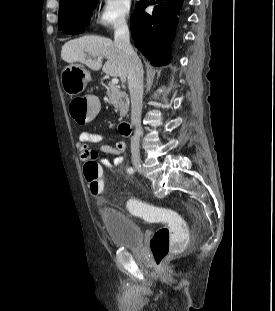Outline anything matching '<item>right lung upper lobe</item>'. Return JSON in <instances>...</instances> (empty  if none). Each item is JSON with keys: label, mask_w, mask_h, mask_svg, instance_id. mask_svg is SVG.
<instances>
[{"label": "right lung upper lobe", "mask_w": 275, "mask_h": 311, "mask_svg": "<svg viewBox=\"0 0 275 311\" xmlns=\"http://www.w3.org/2000/svg\"><path fill=\"white\" fill-rule=\"evenodd\" d=\"M64 1H67V0H60V4H61L62 2H64Z\"/></svg>", "instance_id": "right-lung-upper-lobe-1"}]
</instances>
